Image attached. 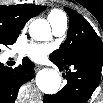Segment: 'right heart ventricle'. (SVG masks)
I'll use <instances>...</instances> for the list:
<instances>
[{
	"mask_svg": "<svg viewBox=\"0 0 103 103\" xmlns=\"http://www.w3.org/2000/svg\"><path fill=\"white\" fill-rule=\"evenodd\" d=\"M64 17H65L64 14L61 13L59 10H52L48 15V19L50 23L57 22Z\"/></svg>",
	"mask_w": 103,
	"mask_h": 103,
	"instance_id": "1",
	"label": "right heart ventricle"
}]
</instances>
